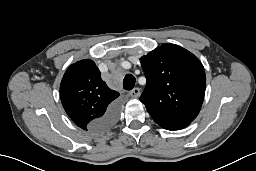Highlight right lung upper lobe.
I'll list each match as a JSON object with an SVG mask.
<instances>
[{
  "instance_id": "right-lung-upper-lobe-1",
  "label": "right lung upper lobe",
  "mask_w": 256,
  "mask_h": 171,
  "mask_svg": "<svg viewBox=\"0 0 256 171\" xmlns=\"http://www.w3.org/2000/svg\"><path fill=\"white\" fill-rule=\"evenodd\" d=\"M119 93L101 79L94 61H78L69 66L60 84V97L67 115L80 128L98 130V121L117 103Z\"/></svg>"
}]
</instances>
